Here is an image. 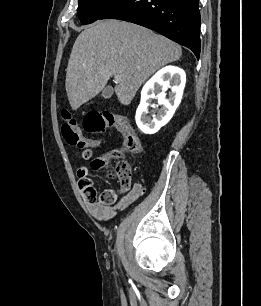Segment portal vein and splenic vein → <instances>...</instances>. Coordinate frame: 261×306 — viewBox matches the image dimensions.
<instances>
[{
    "label": "portal vein and splenic vein",
    "instance_id": "1",
    "mask_svg": "<svg viewBox=\"0 0 261 306\" xmlns=\"http://www.w3.org/2000/svg\"><path fill=\"white\" fill-rule=\"evenodd\" d=\"M114 80H115L116 82H120V81L122 80V77H121L120 75H115V76H114Z\"/></svg>",
    "mask_w": 261,
    "mask_h": 306
}]
</instances>
